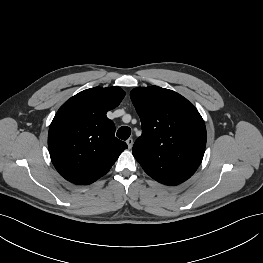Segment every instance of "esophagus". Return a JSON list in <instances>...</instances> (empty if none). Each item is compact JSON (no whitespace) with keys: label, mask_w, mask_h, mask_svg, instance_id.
<instances>
[{"label":"esophagus","mask_w":263,"mask_h":263,"mask_svg":"<svg viewBox=\"0 0 263 263\" xmlns=\"http://www.w3.org/2000/svg\"><path fill=\"white\" fill-rule=\"evenodd\" d=\"M127 145H128V148L131 149L132 146H133V139L132 138H129L127 141H126Z\"/></svg>","instance_id":"obj_1"}]
</instances>
